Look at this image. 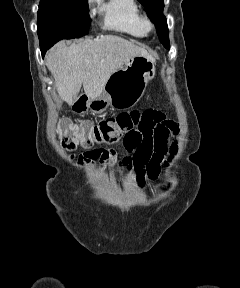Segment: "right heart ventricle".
I'll return each instance as SVG.
<instances>
[{"instance_id":"1","label":"right heart ventricle","mask_w":240,"mask_h":288,"mask_svg":"<svg viewBox=\"0 0 240 288\" xmlns=\"http://www.w3.org/2000/svg\"><path fill=\"white\" fill-rule=\"evenodd\" d=\"M104 27L141 38L145 33L141 29V10L136 0H106L100 8Z\"/></svg>"}]
</instances>
